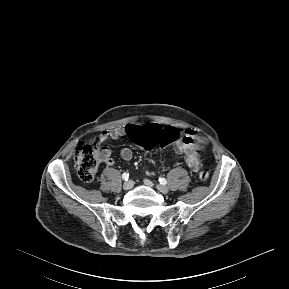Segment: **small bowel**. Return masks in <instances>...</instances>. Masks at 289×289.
Returning a JSON list of instances; mask_svg holds the SVG:
<instances>
[{
  "mask_svg": "<svg viewBox=\"0 0 289 289\" xmlns=\"http://www.w3.org/2000/svg\"><path fill=\"white\" fill-rule=\"evenodd\" d=\"M127 128L116 127L110 130H104L99 133L96 138V144L100 145L107 139H119L127 135ZM206 139L193 130H187L182 138L176 142L175 150L182 156L193 171H197L200 166L199 152L206 146ZM101 161L108 166L114 164L111 157V151L106 147H101ZM120 156L125 161H130L133 157V152L130 148L124 147L120 150Z\"/></svg>",
  "mask_w": 289,
  "mask_h": 289,
  "instance_id": "c3829d8e",
  "label": "small bowel"
}]
</instances>
